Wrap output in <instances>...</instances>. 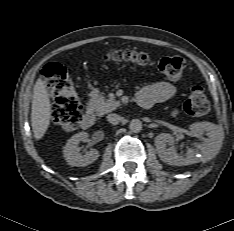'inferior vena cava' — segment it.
<instances>
[{
  "mask_svg": "<svg viewBox=\"0 0 234 231\" xmlns=\"http://www.w3.org/2000/svg\"><path fill=\"white\" fill-rule=\"evenodd\" d=\"M120 119V116L118 114L112 113L107 116V120L110 123H116Z\"/></svg>",
  "mask_w": 234,
  "mask_h": 231,
  "instance_id": "1",
  "label": "inferior vena cava"
}]
</instances>
